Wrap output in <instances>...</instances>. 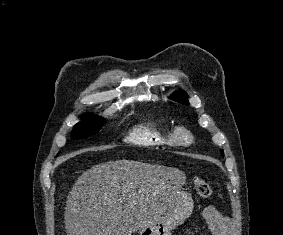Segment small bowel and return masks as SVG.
<instances>
[{"label":"small bowel","instance_id":"small-bowel-1","mask_svg":"<svg viewBox=\"0 0 283 235\" xmlns=\"http://www.w3.org/2000/svg\"><path fill=\"white\" fill-rule=\"evenodd\" d=\"M202 218L210 228L212 235H229L230 222L214 206H207L202 211Z\"/></svg>","mask_w":283,"mask_h":235}]
</instances>
